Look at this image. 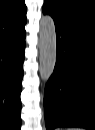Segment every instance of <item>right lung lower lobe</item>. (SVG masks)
I'll use <instances>...</instances> for the list:
<instances>
[{
    "label": "right lung lower lobe",
    "mask_w": 95,
    "mask_h": 130,
    "mask_svg": "<svg viewBox=\"0 0 95 130\" xmlns=\"http://www.w3.org/2000/svg\"><path fill=\"white\" fill-rule=\"evenodd\" d=\"M25 30L0 41V127L20 130Z\"/></svg>",
    "instance_id": "obj_1"
}]
</instances>
